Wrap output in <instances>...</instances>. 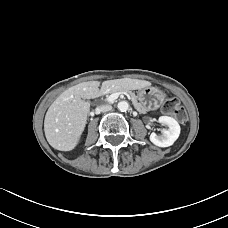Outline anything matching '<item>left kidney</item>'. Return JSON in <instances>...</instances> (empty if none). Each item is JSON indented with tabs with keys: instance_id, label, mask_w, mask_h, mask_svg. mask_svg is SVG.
Here are the masks:
<instances>
[{
	"instance_id": "left-kidney-1",
	"label": "left kidney",
	"mask_w": 228,
	"mask_h": 228,
	"mask_svg": "<svg viewBox=\"0 0 228 228\" xmlns=\"http://www.w3.org/2000/svg\"><path fill=\"white\" fill-rule=\"evenodd\" d=\"M158 122L168 126V129L163 130L161 135L156 133H151L150 141L159 147H169L178 139L180 135V125L178 122L168 116H161L158 119Z\"/></svg>"
}]
</instances>
